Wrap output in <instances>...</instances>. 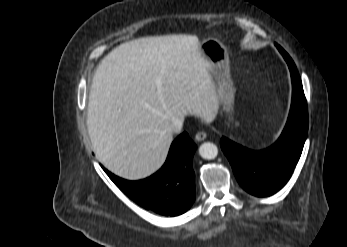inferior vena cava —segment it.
Returning <instances> with one entry per match:
<instances>
[{"instance_id":"602c4592","label":"inferior vena cava","mask_w":347,"mask_h":247,"mask_svg":"<svg viewBox=\"0 0 347 247\" xmlns=\"http://www.w3.org/2000/svg\"><path fill=\"white\" fill-rule=\"evenodd\" d=\"M183 126L182 119H175L168 128L170 133H180Z\"/></svg>"}]
</instances>
